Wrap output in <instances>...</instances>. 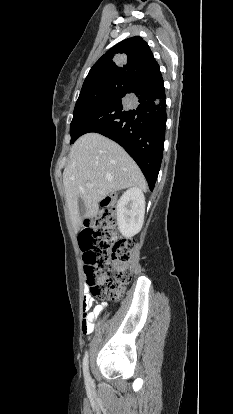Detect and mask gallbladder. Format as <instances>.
Here are the masks:
<instances>
[{
    "mask_svg": "<svg viewBox=\"0 0 233 414\" xmlns=\"http://www.w3.org/2000/svg\"><path fill=\"white\" fill-rule=\"evenodd\" d=\"M78 210H79V214L81 216H83L85 214V212H86L85 203H84V201L81 198L79 199V202H78Z\"/></svg>",
    "mask_w": 233,
    "mask_h": 414,
    "instance_id": "1",
    "label": "gallbladder"
}]
</instances>
